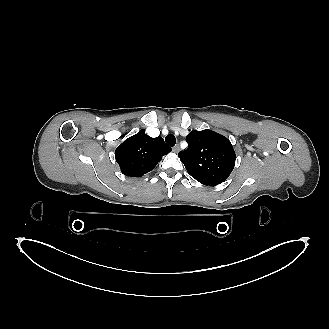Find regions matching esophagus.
I'll list each match as a JSON object with an SVG mask.
<instances>
[{"label": "esophagus", "instance_id": "34e87169", "mask_svg": "<svg viewBox=\"0 0 329 329\" xmlns=\"http://www.w3.org/2000/svg\"><path fill=\"white\" fill-rule=\"evenodd\" d=\"M173 152L178 153L180 151L179 145H176L172 148Z\"/></svg>", "mask_w": 329, "mask_h": 329}]
</instances>
